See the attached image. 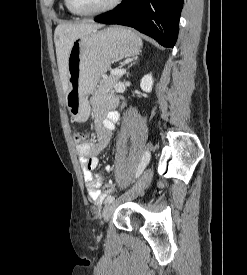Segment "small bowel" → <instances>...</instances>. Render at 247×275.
I'll use <instances>...</instances> for the list:
<instances>
[{
  "label": "small bowel",
  "mask_w": 247,
  "mask_h": 275,
  "mask_svg": "<svg viewBox=\"0 0 247 275\" xmlns=\"http://www.w3.org/2000/svg\"><path fill=\"white\" fill-rule=\"evenodd\" d=\"M116 105L117 100L110 95H97L91 99L97 138L94 142H86L77 147L88 195L94 202H102L106 196L100 190L101 177L93 171L99 163L98 154L109 144L112 132L120 119L119 113L113 110Z\"/></svg>",
  "instance_id": "c3829d8e"
}]
</instances>
